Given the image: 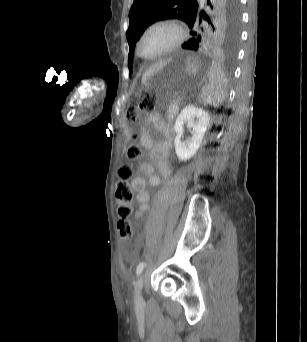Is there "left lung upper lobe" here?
Wrapping results in <instances>:
<instances>
[{
    "label": "left lung upper lobe",
    "mask_w": 307,
    "mask_h": 342,
    "mask_svg": "<svg viewBox=\"0 0 307 342\" xmlns=\"http://www.w3.org/2000/svg\"><path fill=\"white\" fill-rule=\"evenodd\" d=\"M239 0L208 1L210 16L198 15L197 0H134L129 12V28L126 32L129 43L128 66L131 70L135 44L144 30L158 20L178 18L186 22L192 36L182 47L220 49L233 55L240 35ZM207 21V23L205 21Z\"/></svg>",
    "instance_id": "left-lung-upper-lobe-1"
}]
</instances>
